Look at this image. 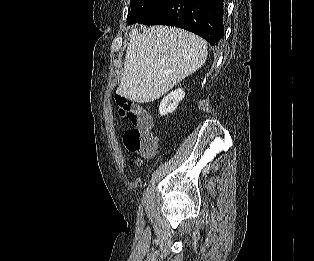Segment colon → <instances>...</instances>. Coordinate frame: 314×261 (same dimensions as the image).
<instances>
[{"mask_svg": "<svg viewBox=\"0 0 314 261\" xmlns=\"http://www.w3.org/2000/svg\"><path fill=\"white\" fill-rule=\"evenodd\" d=\"M117 104L120 117L132 124L123 136L126 150L142 156L152 155L156 148L157 136L153 130L151 114L123 96L117 97Z\"/></svg>", "mask_w": 314, "mask_h": 261, "instance_id": "1", "label": "colon"}]
</instances>
